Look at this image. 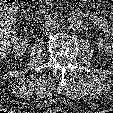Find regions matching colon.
Wrapping results in <instances>:
<instances>
[{
  "label": "colon",
  "mask_w": 113,
  "mask_h": 113,
  "mask_svg": "<svg viewBox=\"0 0 113 113\" xmlns=\"http://www.w3.org/2000/svg\"><path fill=\"white\" fill-rule=\"evenodd\" d=\"M17 0H0V57H3L11 48L15 38L14 31L7 21L1 18V12L6 6H11Z\"/></svg>",
  "instance_id": "5ec220e1"
}]
</instances>
